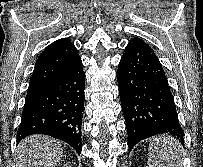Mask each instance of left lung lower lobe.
<instances>
[{"mask_svg": "<svg viewBox=\"0 0 203 167\" xmlns=\"http://www.w3.org/2000/svg\"><path fill=\"white\" fill-rule=\"evenodd\" d=\"M119 95L128 133V147L155 136H174L184 145L174 99L165 72L149 45L133 39L117 71Z\"/></svg>", "mask_w": 203, "mask_h": 167, "instance_id": "left-lung-lower-lobe-1", "label": "left lung lower lobe"}]
</instances>
